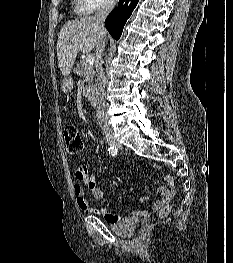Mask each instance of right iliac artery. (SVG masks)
<instances>
[{"label":"right iliac artery","instance_id":"right-iliac-artery-1","mask_svg":"<svg viewBox=\"0 0 233 263\" xmlns=\"http://www.w3.org/2000/svg\"><path fill=\"white\" fill-rule=\"evenodd\" d=\"M108 153H109V155H111V156H116L117 153H118V150H117L116 147L110 146V147L108 148Z\"/></svg>","mask_w":233,"mask_h":263}]
</instances>
